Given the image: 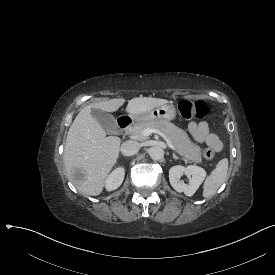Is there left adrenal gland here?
Wrapping results in <instances>:
<instances>
[{"label":"left adrenal gland","mask_w":275,"mask_h":275,"mask_svg":"<svg viewBox=\"0 0 275 275\" xmlns=\"http://www.w3.org/2000/svg\"><path fill=\"white\" fill-rule=\"evenodd\" d=\"M167 155H168V153H167ZM172 155H173V158H174V159H179V157H178V156H176V154H175V153H173Z\"/></svg>","instance_id":"a2214340"}]
</instances>
